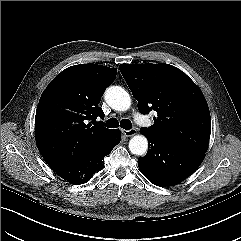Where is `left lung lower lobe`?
I'll return each instance as SVG.
<instances>
[{
	"mask_svg": "<svg viewBox=\"0 0 241 241\" xmlns=\"http://www.w3.org/2000/svg\"><path fill=\"white\" fill-rule=\"evenodd\" d=\"M150 148L139 157L143 175L157 186H171L189 177L201 164L205 153L164 142L146 133Z\"/></svg>",
	"mask_w": 241,
	"mask_h": 241,
	"instance_id": "1",
	"label": "left lung lower lobe"
}]
</instances>
